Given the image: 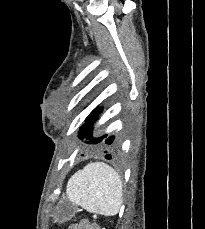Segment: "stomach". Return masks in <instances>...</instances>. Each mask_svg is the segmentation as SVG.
I'll use <instances>...</instances> for the list:
<instances>
[{
	"mask_svg": "<svg viewBox=\"0 0 205 229\" xmlns=\"http://www.w3.org/2000/svg\"><path fill=\"white\" fill-rule=\"evenodd\" d=\"M71 207L70 206H60L57 208L56 213L54 215L55 221L62 223L69 219L71 214Z\"/></svg>",
	"mask_w": 205,
	"mask_h": 229,
	"instance_id": "1",
	"label": "stomach"
}]
</instances>
